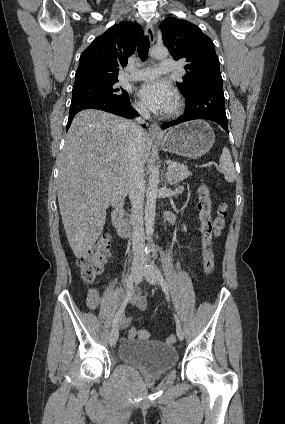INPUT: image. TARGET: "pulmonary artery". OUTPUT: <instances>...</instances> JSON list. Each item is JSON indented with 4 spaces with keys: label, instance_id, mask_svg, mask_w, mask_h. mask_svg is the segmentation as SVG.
<instances>
[{
    "label": "pulmonary artery",
    "instance_id": "obj_1",
    "mask_svg": "<svg viewBox=\"0 0 285 424\" xmlns=\"http://www.w3.org/2000/svg\"><path fill=\"white\" fill-rule=\"evenodd\" d=\"M175 69V62L171 59L163 60L159 67H146L129 75L131 80H152L160 74L171 73Z\"/></svg>",
    "mask_w": 285,
    "mask_h": 424
}]
</instances>
